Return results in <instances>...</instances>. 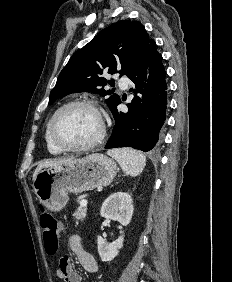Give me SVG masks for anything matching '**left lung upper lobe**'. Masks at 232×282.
<instances>
[{
  "instance_id": "1",
  "label": "left lung upper lobe",
  "mask_w": 232,
  "mask_h": 282,
  "mask_svg": "<svg viewBox=\"0 0 232 282\" xmlns=\"http://www.w3.org/2000/svg\"><path fill=\"white\" fill-rule=\"evenodd\" d=\"M151 41L140 22L123 20L103 29L62 69L50 92L49 104L71 93L89 92L109 95L106 103L112 109L120 97L104 89L113 80L108 81L101 75L107 72L127 76L139 63Z\"/></svg>"
}]
</instances>
